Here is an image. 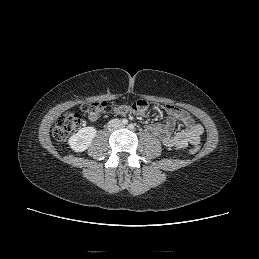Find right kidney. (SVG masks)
I'll return each mask as SVG.
<instances>
[{
	"label": "right kidney",
	"mask_w": 259,
	"mask_h": 259,
	"mask_svg": "<svg viewBox=\"0 0 259 259\" xmlns=\"http://www.w3.org/2000/svg\"><path fill=\"white\" fill-rule=\"evenodd\" d=\"M96 133L94 127H84L69 138L68 144L75 152H83L91 145Z\"/></svg>",
	"instance_id": "ca27d5eb"
}]
</instances>
